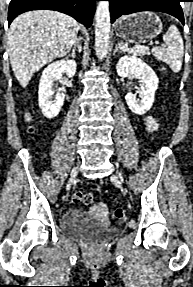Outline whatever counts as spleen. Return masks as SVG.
Returning <instances> with one entry per match:
<instances>
[{
    "mask_svg": "<svg viewBox=\"0 0 193 287\" xmlns=\"http://www.w3.org/2000/svg\"><path fill=\"white\" fill-rule=\"evenodd\" d=\"M167 47H155L152 49L154 57L166 63L170 69L177 73L180 71L184 56V44L181 34L175 25H171L163 36Z\"/></svg>",
    "mask_w": 193,
    "mask_h": 287,
    "instance_id": "spleen-1",
    "label": "spleen"
}]
</instances>
